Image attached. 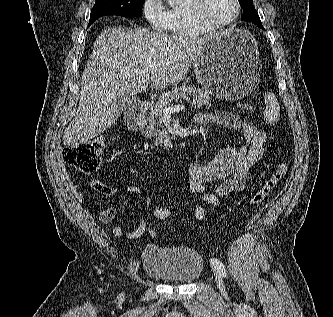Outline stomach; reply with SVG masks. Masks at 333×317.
<instances>
[{
    "label": "stomach",
    "instance_id": "0dacf381",
    "mask_svg": "<svg viewBox=\"0 0 333 317\" xmlns=\"http://www.w3.org/2000/svg\"><path fill=\"white\" fill-rule=\"evenodd\" d=\"M194 72L203 89L217 98L234 101L254 95L260 76L255 38L240 28L211 36L194 61Z\"/></svg>",
    "mask_w": 333,
    "mask_h": 317
}]
</instances>
